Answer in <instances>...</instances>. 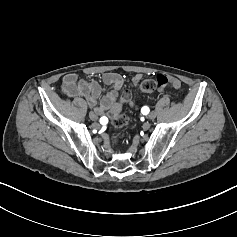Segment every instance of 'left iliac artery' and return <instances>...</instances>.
Listing matches in <instances>:
<instances>
[{"label": "left iliac artery", "mask_w": 237, "mask_h": 237, "mask_svg": "<svg viewBox=\"0 0 237 237\" xmlns=\"http://www.w3.org/2000/svg\"><path fill=\"white\" fill-rule=\"evenodd\" d=\"M141 112H142V114L147 115V114L149 113V108L146 107V106H144V107L141 109Z\"/></svg>", "instance_id": "left-iliac-artery-1"}]
</instances>
